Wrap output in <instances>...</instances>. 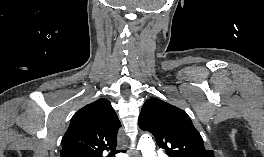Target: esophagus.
I'll list each match as a JSON object with an SVG mask.
<instances>
[{
  "mask_svg": "<svg viewBox=\"0 0 264 157\" xmlns=\"http://www.w3.org/2000/svg\"><path fill=\"white\" fill-rule=\"evenodd\" d=\"M133 157H140L136 152L133 154Z\"/></svg>",
  "mask_w": 264,
  "mask_h": 157,
  "instance_id": "obj_1",
  "label": "esophagus"
}]
</instances>
